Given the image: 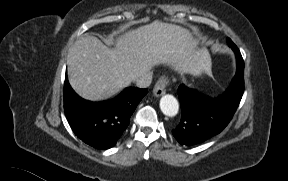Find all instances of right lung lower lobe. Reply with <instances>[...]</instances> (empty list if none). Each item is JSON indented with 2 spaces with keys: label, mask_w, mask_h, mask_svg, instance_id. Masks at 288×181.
Here are the masks:
<instances>
[{
  "label": "right lung lower lobe",
  "mask_w": 288,
  "mask_h": 181,
  "mask_svg": "<svg viewBox=\"0 0 288 181\" xmlns=\"http://www.w3.org/2000/svg\"><path fill=\"white\" fill-rule=\"evenodd\" d=\"M146 94L147 89L129 87L109 101L93 103L80 98L66 76L64 111L78 138L96 149L105 150L121 138L132 113Z\"/></svg>",
  "instance_id": "obj_1"
}]
</instances>
